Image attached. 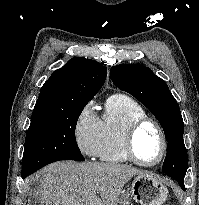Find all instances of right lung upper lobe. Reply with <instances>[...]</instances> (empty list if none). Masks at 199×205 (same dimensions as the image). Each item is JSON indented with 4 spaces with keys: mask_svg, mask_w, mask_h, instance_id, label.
I'll return each mask as SVG.
<instances>
[{
    "mask_svg": "<svg viewBox=\"0 0 199 205\" xmlns=\"http://www.w3.org/2000/svg\"><path fill=\"white\" fill-rule=\"evenodd\" d=\"M106 75L107 69L97 61L81 57L70 59L44 83L33 112L55 105L91 100L103 86Z\"/></svg>",
    "mask_w": 199,
    "mask_h": 205,
    "instance_id": "obj_1",
    "label": "right lung upper lobe"
}]
</instances>
